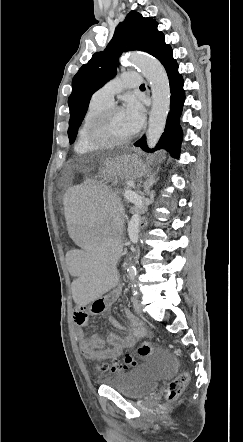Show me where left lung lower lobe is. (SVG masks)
I'll list each match as a JSON object with an SVG mask.
<instances>
[{"mask_svg":"<svg viewBox=\"0 0 243 442\" xmlns=\"http://www.w3.org/2000/svg\"><path fill=\"white\" fill-rule=\"evenodd\" d=\"M165 67L170 83L171 100L170 112L167 117L164 133L159 139L156 147L152 150L165 149L173 157H179V150L182 141V129L180 126V116L185 100L183 90V79L178 73V65L173 58L171 47L165 43L164 39L158 44L153 54ZM135 146L141 147L145 151H150L146 137L143 136L135 143Z\"/></svg>","mask_w":243,"mask_h":442,"instance_id":"obj_1","label":"left lung lower lobe"}]
</instances>
